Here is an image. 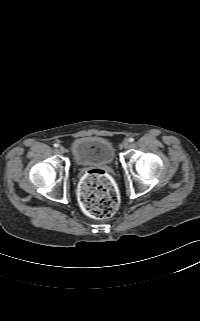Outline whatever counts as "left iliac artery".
<instances>
[{"instance_id": "1", "label": "left iliac artery", "mask_w": 200, "mask_h": 321, "mask_svg": "<svg viewBox=\"0 0 200 321\" xmlns=\"http://www.w3.org/2000/svg\"><path fill=\"white\" fill-rule=\"evenodd\" d=\"M134 141V139L133 138H129V142H133Z\"/></svg>"}]
</instances>
